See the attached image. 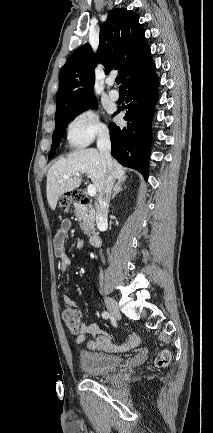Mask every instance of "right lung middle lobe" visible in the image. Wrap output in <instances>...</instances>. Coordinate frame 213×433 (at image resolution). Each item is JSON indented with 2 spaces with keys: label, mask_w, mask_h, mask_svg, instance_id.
I'll use <instances>...</instances> for the list:
<instances>
[{
  "label": "right lung middle lobe",
  "mask_w": 213,
  "mask_h": 433,
  "mask_svg": "<svg viewBox=\"0 0 213 433\" xmlns=\"http://www.w3.org/2000/svg\"><path fill=\"white\" fill-rule=\"evenodd\" d=\"M97 100L91 99L84 102L78 106L70 108L64 111L59 117L55 118V130L52 136V146L49 152L48 158H52L55 155V149L59 146V141L61 140L67 124L76 116L86 111L87 109L97 108Z\"/></svg>",
  "instance_id": "dd1d6c3e"
}]
</instances>
